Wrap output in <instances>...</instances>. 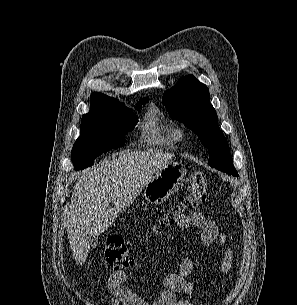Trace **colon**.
<instances>
[{"label": "colon", "mask_w": 297, "mask_h": 305, "mask_svg": "<svg viewBox=\"0 0 297 305\" xmlns=\"http://www.w3.org/2000/svg\"><path fill=\"white\" fill-rule=\"evenodd\" d=\"M208 197V182L201 169L194 170L189 178L188 194L182 201L167 209L159 218L157 230L173 224L176 218L186 212H195ZM106 266L111 270H121L132 264L133 259L128 253L127 245L120 234L108 238L104 249Z\"/></svg>", "instance_id": "1"}]
</instances>
